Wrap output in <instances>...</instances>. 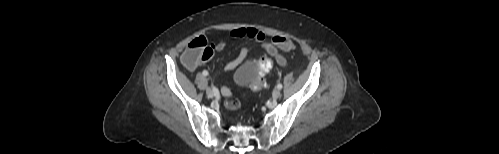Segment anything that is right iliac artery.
<instances>
[{"label":"right iliac artery","mask_w":499,"mask_h":154,"mask_svg":"<svg viewBox=\"0 0 499 154\" xmlns=\"http://www.w3.org/2000/svg\"><path fill=\"white\" fill-rule=\"evenodd\" d=\"M203 75H204V76H207V75H208V72H207L206 70H205V71H203Z\"/></svg>","instance_id":"right-iliac-artery-1"}]
</instances>
